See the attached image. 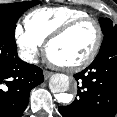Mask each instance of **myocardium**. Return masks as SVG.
<instances>
[{"label": "myocardium", "mask_w": 117, "mask_h": 117, "mask_svg": "<svg viewBox=\"0 0 117 117\" xmlns=\"http://www.w3.org/2000/svg\"><path fill=\"white\" fill-rule=\"evenodd\" d=\"M86 22H91L92 24H94V26L96 27V31H97L96 42L90 54L82 61L74 63V64H70V65H63V64H58L54 62L49 56L51 45L54 42L66 36L70 31H72L74 28H76L80 24H83ZM102 42H103V31H102V27L100 23L92 17H89V16L82 17V18H78V19H75L66 23L65 25L60 27L58 30H56L47 38L45 42V55H46L48 62L53 67L60 69L62 71H66V72H77L88 67L95 60V58L97 57L100 51Z\"/></svg>", "instance_id": "1"}]
</instances>
